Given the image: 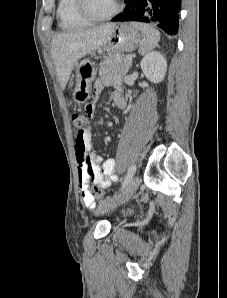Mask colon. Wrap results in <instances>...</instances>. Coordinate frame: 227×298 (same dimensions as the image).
Returning a JSON list of instances; mask_svg holds the SVG:
<instances>
[{
  "label": "colon",
  "instance_id": "colon-1",
  "mask_svg": "<svg viewBox=\"0 0 227 298\" xmlns=\"http://www.w3.org/2000/svg\"><path fill=\"white\" fill-rule=\"evenodd\" d=\"M89 117H90V115H85L82 113H75L72 115V125L74 128L75 137H76L75 149L80 153L81 156L84 154V149H85L84 135L89 129ZM93 193L98 199L103 198L104 194L100 188L94 187ZM117 211L119 213L122 212V214L120 215L122 218L123 217L130 218L132 216L130 213L127 214V212L129 211L127 208L126 209L119 208ZM134 211L137 213L139 210L136 208ZM125 212H126V214H125Z\"/></svg>",
  "mask_w": 227,
  "mask_h": 298
}]
</instances>
